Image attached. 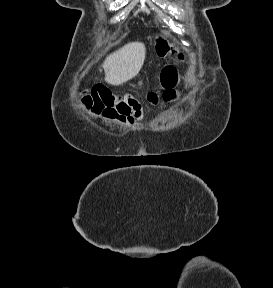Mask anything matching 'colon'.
Here are the masks:
<instances>
[{
    "label": "colon",
    "mask_w": 273,
    "mask_h": 288,
    "mask_svg": "<svg viewBox=\"0 0 273 288\" xmlns=\"http://www.w3.org/2000/svg\"><path fill=\"white\" fill-rule=\"evenodd\" d=\"M157 52L160 56L176 53L175 48L163 39L158 41ZM179 57L183 58V55L180 54ZM161 83L164 87L162 101L164 103L175 102L179 97L176 90L178 73L175 67L167 66L162 70ZM148 100L153 105H157L160 102L159 96L155 93L150 94ZM83 103L91 112L117 120L121 123L133 122V120L137 118L139 109L137 104L113 93L104 85L95 86L83 97Z\"/></svg>",
    "instance_id": "1"
}]
</instances>
